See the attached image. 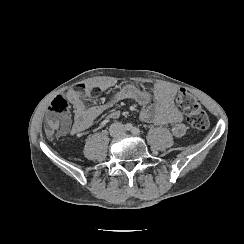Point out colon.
Segmentation results:
<instances>
[{
  "label": "colon",
  "instance_id": "5ec220e1",
  "mask_svg": "<svg viewBox=\"0 0 244 244\" xmlns=\"http://www.w3.org/2000/svg\"><path fill=\"white\" fill-rule=\"evenodd\" d=\"M70 96L80 95L88 98L90 95L97 96L100 88L92 85L90 88L83 84L70 85L67 88ZM178 103L188 113L189 123L198 130H204L209 126V117L206 110L198 99L188 92H181L178 95ZM71 124V107L65 95L56 96L49 105V112L45 118L44 129L47 136L53 138L57 135L67 133Z\"/></svg>",
  "mask_w": 244,
  "mask_h": 244
}]
</instances>
